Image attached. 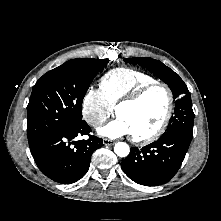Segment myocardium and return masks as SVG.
<instances>
[{
    "label": "myocardium",
    "mask_w": 221,
    "mask_h": 221,
    "mask_svg": "<svg viewBox=\"0 0 221 221\" xmlns=\"http://www.w3.org/2000/svg\"><path fill=\"white\" fill-rule=\"evenodd\" d=\"M156 87H160V88L164 89V91L167 94L168 102H167L166 112H165V115H164L161 123L153 132H151L150 134H147L145 136H141V137H137V136L132 135V141L137 144L144 145V144L152 143V142L156 141L165 132V130L170 122V119H171V116L173 113V109H174V95H173L172 90L170 89V87L166 83L160 82V81H154V82H151V83L141 86L140 88L135 90L130 95L121 99L115 106V113L117 115V112L121 107L126 106V105L137 104L138 102H140L143 99V97L150 90H152Z\"/></svg>",
    "instance_id": "f54148a6"
}]
</instances>
